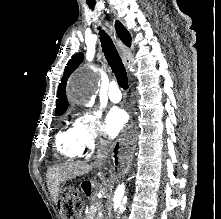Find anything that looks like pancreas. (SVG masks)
<instances>
[{
    "mask_svg": "<svg viewBox=\"0 0 221 219\" xmlns=\"http://www.w3.org/2000/svg\"><path fill=\"white\" fill-rule=\"evenodd\" d=\"M97 208L95 206H91L86 213L84 219H98L97 217Z\"/></svg>",
    "mask_w": 221,
    "mask_h": 219,
    "instance_id": "obj_1",
    "label": "pancreas"
}]
</instances>
